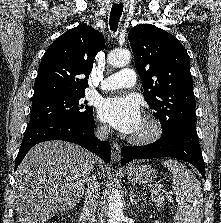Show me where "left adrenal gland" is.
<instances>
[{
	"mask_svg": "<svg viewBox=\"0 0 221 223\" xmlns=\"http://www.w3.org/2000/svg\"><path fill=\"white\" fill-rule=\"evenodd\" d=\"M139 201H141L140 198H136L133 193L130 194V202L132 205H137Z\"/></svg>",
	"mask_w": 221,
	"mask_h": 223,
	"instance_id": "1",
	"label": "left adrenal gland"
}]
</instances>
